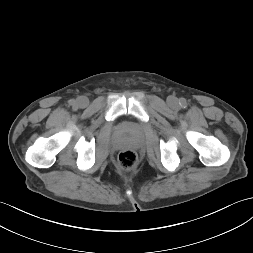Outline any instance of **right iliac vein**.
<instances>
[{
  "label": "right iliac vein",
  "mask_w": 253,
  "mask_h": 253,
  "mask_svg": "<svg viewBox=\"0 0 253 253\" xmlns=\"http://www.w3.org/2000/svg\"><path fill=\"white\" fill-rule=\"evenodd\" d=\"M89 103V100L88 98L86 97H80L78 100H77V105L81 108H84L88 105Z\"/></svg>",
  "instance_id": "63e3f726"
}]
</instances>
